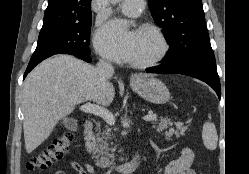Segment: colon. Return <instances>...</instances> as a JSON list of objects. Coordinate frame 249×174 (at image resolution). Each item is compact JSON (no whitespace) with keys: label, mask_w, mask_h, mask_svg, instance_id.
Masks as SVG:
<instances>
[{"label":"colon","mask_w":249,"mask_h":174,"mask_svg":"<svg viewBox=\"0 0 249 174\" xmlns=\"http://www.w3.org/2000/svg\"><path fill=\"white\" fill-rule=\"evenodd\" d=\"M73 142V132L66 131L62 133L50 146L35 154L29 160L27 163V169L29 171H41L47 169L69 150Z\"/></svg>","instance_id":"obj_1"}]
</instances>
